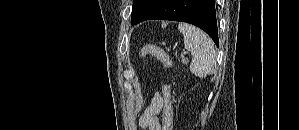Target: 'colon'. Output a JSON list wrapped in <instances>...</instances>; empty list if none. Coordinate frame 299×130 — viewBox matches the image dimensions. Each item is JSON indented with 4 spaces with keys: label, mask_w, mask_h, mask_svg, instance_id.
Listing matches in <instances>:
<instances>
[{
    "label": "colon",
    "mask_w": 299,
    "mask_h": 130,
    "mask_svg": "<svg viewBox=\"0 0 299 130\" xmlns=\"http://www.w3.org/2000/svg\"><path fill=\"white\" fill-rule=\"evenodd\" d=\"M148 56L155 57L160 61L166 68H170L172 61L169 55L159 46L155 44L145 45L139 53L141 59H145ZM163 98H164V110L162 119V130H172L173 126V105L171 90L168 86L163 87Z\"/></svg>",
    "instance_id": "5ec220e1"
}]
</instances>
